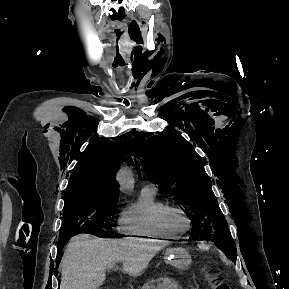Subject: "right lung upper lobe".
<instances>
[{
	"label": "right lung upper lobe",
	"instance_id": "cb5924a9",
	"mask_svg": "<svg viewBox=\"0 0 289 289\" xmlns=\"http://www.w3.org/2000/svg\"><path fill=\"white\" fill-rule=\"evenodd\" d=\"M127 147L125 142L99 138L90 142L71 173L65 197L119 194L115 174Z\"/></svg>",
	"mask_w": 289,
	"mask_h": 289
}]
</instances>
